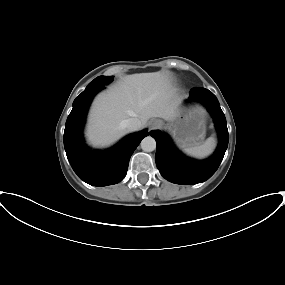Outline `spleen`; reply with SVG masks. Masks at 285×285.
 <instances>
[{"label":"spleen","instance_id":"1","mask_svg":"<svg viewBox=\"0 0 285 285\" xmlns=\"http://www.w3.org/2000/svg\"><path fill=\"white\" fill-rule=\"evenodd\" d=\"M215 145V139L209 137L202 144L185 148L183 151L189 156L201 159L209 156L213 152Z\"/></svg>","mask_w":285,"mask_h":285}]
</instances>
